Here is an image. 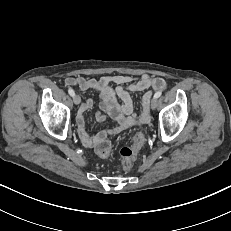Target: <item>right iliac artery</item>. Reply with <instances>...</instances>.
Segmentation results:
<instances>
[{
	"mask_svg": "<svg viewBox=\"0 0 231 231\" xmlns=\"http://www.w3.org/2000/svg\"><path fill=\"white\" fill-rule=\"evenodd\" d=\"M68 93L70 94V96H72V97H74L75 96V92H74V90L73 89H69L68 90Z\"/></svg>",
	"mask_w": 231,
	"mask_h": 231,
	"instance_id": "82829eb1",
	"label": "right iliac artery"
}]
</instances>
